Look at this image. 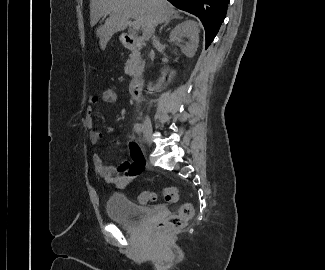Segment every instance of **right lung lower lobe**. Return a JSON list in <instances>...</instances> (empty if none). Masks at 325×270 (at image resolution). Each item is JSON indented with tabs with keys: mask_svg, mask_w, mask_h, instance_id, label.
<instances>
[{
	"mask_svg": "<svg viewBox=\"0 0 325 270\" xmlns=\"http://www.w3.org/2000/svg\"><path fill=\"white\" fill-rule=\"evenodd\" d=\"M175 7L197 16L204 28L206 48L215 38L223 22L229 0H168Z\"/></svg>",
	"mask_w": 325,
	"mask_h": 270,
	"instance_id": "right-lung-lower-lobe-1",
	"label": "right lung lower lobe"
}]
</instances>
